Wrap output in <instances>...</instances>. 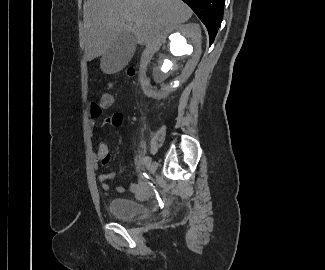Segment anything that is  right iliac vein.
I'll list each match as a JSON object with an SVG mask.
<instances>
[{
    "mask_svg": "<svg viewBox=\"0 0 325 270\" xmlns=\"http://www.w3.org/2000/svg\"><path fill=\"white\" fill-rule=\"evenodd\" d=\"M147 167H148V169H149V171H150L151 173H154V172L156 171V169H157V165H156V163H155V162H151V160H150L149 163L147 164Z\"/></svg>",
    "mask_w": 325,
    "mask_h": 270,
    "instance_id": "63e3f726",
    "label": "right iliac vein"
}]
</instances>
